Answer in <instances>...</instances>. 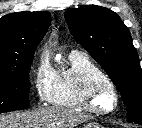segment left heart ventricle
I'll return each instance as SVG.
<instances>
[{
    "label": "left heart ventricle",
    "instance_id": "1",
    "mask_svg": "<svg viewBox=\"0 0 142 128\" xmlns=\"http://www.w3.org/2000/svg\"><path fill=\"white\" fill-rule=\"evenodd\" d=\"M96 104L104 109L110 108L113 104V97L107 87L102 86L95 95Z\"/></svg>",
    "mask_w": 142,
    "mask_h": 128
}]
</instances>
